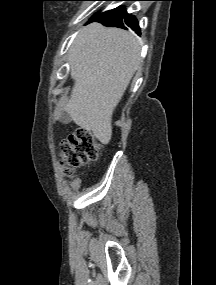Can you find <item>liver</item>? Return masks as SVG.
Masks as SVG:
<instances>
[{"label":"liver","instance_id":"6515ba94","mask_svg":"<svg viewBox=\"0 0 216 285\" xmlns=\"http://www.w3.org/2000/svg\"><path fill=\"white\" fill-rule=\"evenodd\" d=\"M140 49L131 32L98 23L83 29L70 48L75 82L65 110L103 144L111 140L113 111L140 67Z\"/></svg>","mask_w":216,"mask_h":285}]
</instances>
